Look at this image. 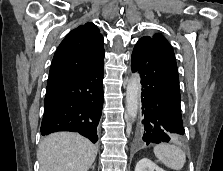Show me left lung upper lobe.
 I'll use <instances>...</instances> for the list:
<instances>
[{"label": "left lung upper lobe", "mask_w": 223, "mask_h": 171, "mask_svg": "<svg viewBox=\"0 0 223 171\" xmlns=\"http://www.w3.org/2000/svg\"><path fill=\"white\" fill-rule=\"evenodd\" d=\"M139 41L155 45L156 47L161 49L164 53H166L174 63H176L174 51L170 43L161 34H156L153 37L145 36L142 37Z\"/></svg>", "instance_id": "5c2ea615"}]
</instances>
